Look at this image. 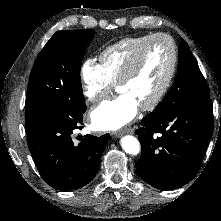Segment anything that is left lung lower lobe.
Instances as JSON below:
<instances>
[{"instance_id":"obj_1","label":"left lung lower lobe","mask_w":221,"mask_h":221,"mask_svg":"<svg viewBox=\"0 0 221 221\" xmlns=\"http://www.w3.org/2000/svg\"><path fill=\"white\" fill-rule=\"evenodd\" d=\"M142 125L136 131L142 148L136 163L141 179L161 190L190 182L199 171L213 132L210 97L178 99L146 115Z\"/></svg>"}]
</instances>
